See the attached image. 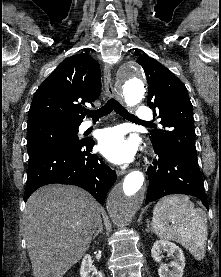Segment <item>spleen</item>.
<instances>
[{
    "mask_svg": "<svg viewBox=\"0 0 221 277\" xmlns=\"http://www.w3.org/2000/svg\"><path fill=\"white\" fill-rule=\"evenodd\" d=\"M152 229L158 237L181 244L196 260L205 257L206 214L195 208L188 196L170 195L159 200L153 209Z\"/></svg>",
    "mask_w": 221,
    "mask_h": 277,
    "instance_id": "1",
    "label": "spleen"
}]
</instances>
